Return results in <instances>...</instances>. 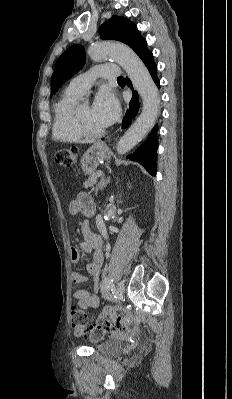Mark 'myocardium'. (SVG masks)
<instances>
[{
    "mask_svg": "<svg viewBox=\"0 0 232 399\" xmlns=\"http://www.w3.org/2000/svg\"><path fill=\"white\" fill-rule=\"evenodd\" d=\"M74 124H75V128L78 131V133L85 139L88 140H98L103 138L105 135H107V133L109 132L108 129H106L103 132H91L90 130L87 129V127L85 126L83 120L81 119L80 115L78 114V112H75L74 114Z\"/></svg>",
    "mask_w": 232,
    "mask_h": 399,
    "instance_id": "myocardium-1",
    "label": "myocardium"
}]
</instances>
